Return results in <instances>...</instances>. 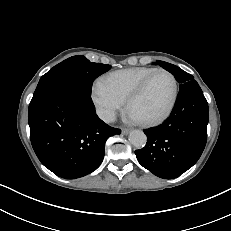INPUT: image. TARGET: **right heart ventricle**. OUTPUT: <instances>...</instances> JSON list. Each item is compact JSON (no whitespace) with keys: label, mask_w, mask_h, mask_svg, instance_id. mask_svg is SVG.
<instances>
[{"label":"right heart ventricle","mask_w":231,"mask_h":231,"mask_svg":"<svg viewBox=\"0 0 231 231\" xmlns=\"http://www.w3.org/2000/svg\"><path fill=\"white\" fill-rule=\"evenodd\" d=\"M155 68L134 67L114 71L103 77L100 81L110 93L125 102L134 89L151 73Z\"/></svg>","instance_id":"e07e8e85"}]
</instances>
